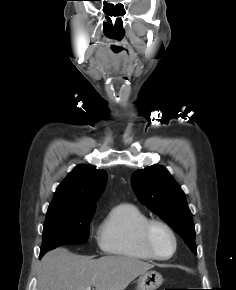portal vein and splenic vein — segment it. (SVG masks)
<instances>
[{"label":"portal vein and splenic vein","mask_w":236,"mask_h":290,"mask_svg":"<svg viewBox=\"0 0 236 290\" xmlns=\"http://www.w3.org/2000/svg\"><path fill=\"white\" fill-rule=\"evenodd\" d=\"M85 290H91V287H87Z\"/></svg>","instance_id":"portal-vein-and-splenic-vein-1"}]
</instances>
